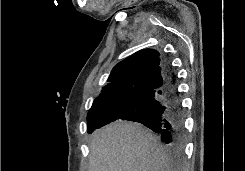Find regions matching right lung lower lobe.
<instances>
[{
	"mask_svg": "<svg viewBox=\"0 0 245 171\" xmlns=\"http://www.w3.org/2000/svg\"><path fill=\"white\" fill-rule=\"evenodd\" d=\"M164 73L165 84L161 88L124 100L96 128L117 119L136 121L158 133L170 147L180 146L184 120L174 75L167 61H164Z\"/></svg>",
	"mask_w": 245,
	"mask_h": 171,
	"instance_id": "1",
	"label": "right lung lower lobe"
}]
</instances>
